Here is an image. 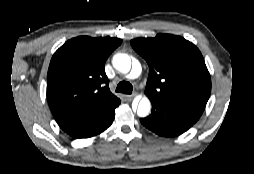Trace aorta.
Listing matches in <instances>:
<instances>
[{
    "label": "aorta",
    "mask_w": 254,
    "mask_h": 174,
    "mask_svg": "<svg viewBox=\"0 0 254 174\" xmlns=\"http://www.w3.org/2000/svg\"><path fill=\"white\" fill-rule=\"evenodd\" d=\"M113 66L121 73H128L131 70V77L137 78L142 71L141 64L138 60L131 61L130 57L126 54H117L113 58ZM132 66V69H131ZM151 103L147 97H143L137 108V115L139 117H146L150 113Z\"/></svg>",
    "instance_id": "1"
}]
</instances>
